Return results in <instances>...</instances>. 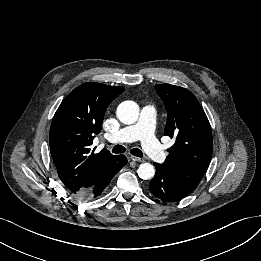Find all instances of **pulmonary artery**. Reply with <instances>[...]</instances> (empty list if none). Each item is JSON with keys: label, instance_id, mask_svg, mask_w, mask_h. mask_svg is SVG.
I'll return each mask as SVG.
<instances>
[{"label": "pulmonary artery", "instance_id": "obj_1", "mask_svg": "<svg viewBox=\"0 0 261 261\" xmlns=\"http://www.w3.org/2000/svg\"><path fill=\"white\" fill-rule=\"evenodd\" d=\"M156 109L152 104L145 105L141 110L140 120L116 133L109 134L111 143H129L141 140L144 150L158 163L166 160V155L160 148L154 134Z\"/></svg>", "mask_w": 261, "mask_h": 261}]
</instances>
